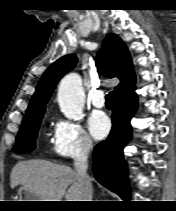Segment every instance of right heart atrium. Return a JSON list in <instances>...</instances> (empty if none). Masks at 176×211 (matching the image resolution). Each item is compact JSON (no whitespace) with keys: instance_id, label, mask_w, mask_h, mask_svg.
<instances>
[{"instance_id":"obj_1","label":"right heart atrium","mask_w":176,"mask_h":211,"mask_svg":"<svg viewBox=\"0 0 176 211\" xmlns=\"http://www.w3.org/2000/svg\"><path fill=\"white\" fill-rule=\"evenodd\" d=\"M93 148V142L83 126L73 120L58 118L53 130L51 149L64 159L87 155Z\"/></svg>"}]
</instances>
